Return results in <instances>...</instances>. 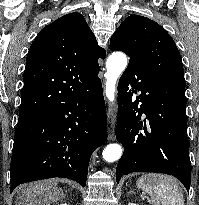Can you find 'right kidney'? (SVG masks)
<instances>
[{"mask_svg": "<svg viewBox=\"0 0 199 205\" xmlns=\"http://www.w3.org/2000/svg\"><path fill=\"white\" fill-rule=\"evenodd\" d=\"M60 205H68V204H60Z\"/></svg>", "mask_w": 199, "mask_h": 205, "instance_id": "1", "label": "right kidney"}]
</instances>
